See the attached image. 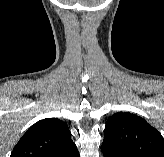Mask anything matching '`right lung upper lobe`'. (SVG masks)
<instances>
[{
	"instance_id": "right-lung-upper-lobe-1",
	"label": "right lung upper lobe",
	"mask_w": 164,
	"mask_h": 157,
	"mask_svg": "<svg viewBox=\"0 0 164 157\" xmlns=\"http://www.w3.org/2000/svg\"><path fill=\"white\" fill-rule=\"evenodd\" d=\"M74 145L65 122L46 118L28 129L10 157H56Z\"/></svg>"
}]
</instances>
